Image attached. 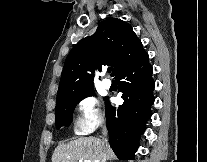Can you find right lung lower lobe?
<instances>
[{
  "label": "right lung lower lobe",
  "instance_id": "obj_1",
  "mask_svg": "<svg viewBox=\"0 0 207 162\" xmlns=\"http://www.w3.org/2000/svg\"><path fill=\"white\" fill-rule=\"evenodd\" d=\"M124 103L115 109L106 101V123L110 146L121 160H133L139 137L150 118L154 103L152 66L148 54L120 70L115 76Z\"/></svg>",
  "mask_w": 207,
  "mask_h": 162
}]
</instances>
